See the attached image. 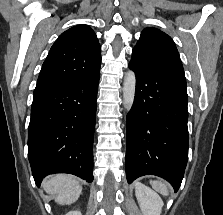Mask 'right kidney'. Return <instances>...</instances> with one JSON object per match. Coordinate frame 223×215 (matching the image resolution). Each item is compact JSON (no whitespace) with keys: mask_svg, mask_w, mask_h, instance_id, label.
<instances>
[{"mask_svg":"<svg viewBox=\"0 0 223 215\" xmlns=\"http://www.w3.org/2000/svg\"><path fill=\"white\" fill-rule=\"evenodd\" d=\"M66 215H82L81 211H68Z\"/></svg>","mask_w":223,"mask_h":215,"instance_id":"ca27d5eb","label":"right kidney"}]
</instances>
